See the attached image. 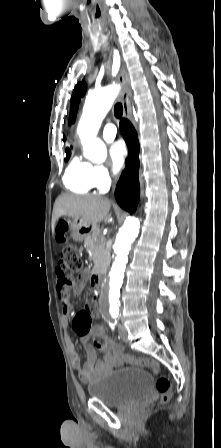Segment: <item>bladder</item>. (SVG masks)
Here are the masks:
<instances>
[{"label":"bladder","instance_id":"31cf9c89","mask_svg":"<svg viewBox=\"0 0 221 448\" xmlns=\"http://www.w3.org/2000/svg\"><path fill=\"white\" fill-rule=\"evenodd\" d=\"M87 391L91 399L121 407L150 397L153 377L142 368L123 366L89 382Z\"/></svg>","mask_w":221,"mask_h":448}]
</instances>
